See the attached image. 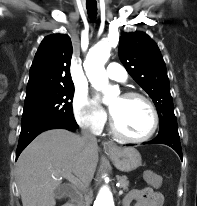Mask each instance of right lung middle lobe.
<instances>
[{
    "label": "right lung middle lobe",
    "instance_id": "1",
    "mask_svg": "<svg viewBox=\"0 0 197 206\" xmlns=\"http://www.w3.org/2000/svg\"><path fill=\"white\" fill-rule=\"evenodd\" d=\"M74 85L27 89L21 128L47 119H74Z\"/></svg>",
    "mask_w": 197,
    "mask_h": 206
}]
</instances>
